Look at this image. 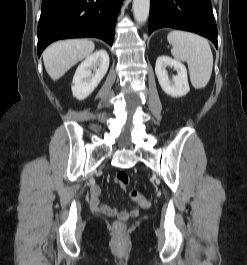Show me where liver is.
Listing matches in <instances>:
<instances>
[{
  "mask_svg": "<svg viewBox=\"0 0 247 265\" xmlns=\"http://www.w3.org/2000/svg\"><path fill=\"white\" fill-rule=\"evenodd\" d=\"M95 45L87 39H70L50 45L43 53V62L48 75L57 80L71 67L88 57Z\"/></svg>",
  "mask_w": 247,
  "mask_h": 265,
  "instance_id": "6515ba94",
  "label": "liver"
}]
</instances>
